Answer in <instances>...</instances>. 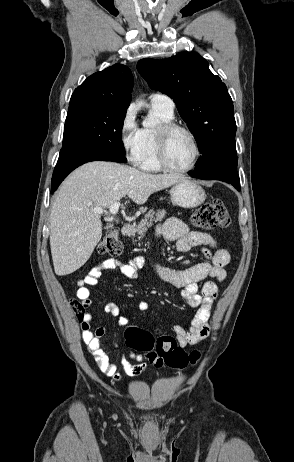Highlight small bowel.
<instances>
[{
    "mask_svg": "<svg viewBox=\"0 0 294 462\" xmlns=\"http://www.w3.org/2000/svg\"><path fill=\"white\" fill-rule=\"evenodd\" d=\"M157 235H163L167 240L175 241L176 249L179 252H187L197 246L206 247L202 250L206 260L187 269L177 270L156 262H150L155 274L164 282L181 288L183 301L190 307L197 309L189 327L182 325L173 327L180 347L196 344L210 334V311L218 294V286L215 281L208 280L202 286L199 285V282L206 279L222 282L226 278L225 266L230 259L229 253L221 248L210 234L191 231L187 224L178 218L167 219L158 228ZM145 262L143 256H137L127 263L112 258L102 261L77 282V298L83 303L86 310L92 303L89 287L98 284L103 271L119 269L124 276L136 278L139 269L145 265ZM138 306L141 311L148 309V303L145 301H140ZM105 312L115 317L119 326L128 325V319L120 315L116 304H106ZM90 321V315L85 314L81 324L82 340L99 369L114 381H120L122 377L118 372L116 362L102 348L105 328L97 327L93 330L90 328ZM121 367L130 377L139 376L149 370L144 358L133 353H128L122 357Z\"/></svg>",
    "mask_w": 294,
    "mask_h": 462,
    "instance_id": "obj_1",
    "label": "small bowel"
}]
</instances>
